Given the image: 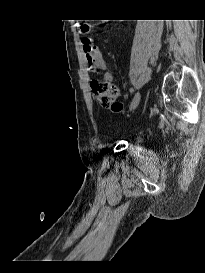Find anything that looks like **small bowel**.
Instances as JSON below:
<instances>
[{"label": "small bowel", "instance_id": "obj_1", "mask_svg": "<svg viewBox=\"0 0 205 273\" xmlns=\"http://www.w3.org/2000/svg\"><path fill=\"white\" fill-rule=\"evenodd\" d=\"M81 46L85 55L87 64L91 72L105 71V79L109 82L113 81L111 73L107 72V64L102 52L98 46L90 38H82Z\"/></svg>", "mask_w": 205, "mask_h": 273}]
</instances>
